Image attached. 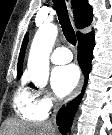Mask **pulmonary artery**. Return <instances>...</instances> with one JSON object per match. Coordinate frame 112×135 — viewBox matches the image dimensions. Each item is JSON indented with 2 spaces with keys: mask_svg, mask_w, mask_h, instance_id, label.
I'll use <instances>...</instances> for the list:
<instances>
[{
  "mask_svg": "<svg viewBox=\"0 0 112 135\" xmlns=\"http://www.w3.org/2000/svg\"><path fill=\"white\" fill-rule=\"evenodd\" d=\"M73 56L69 49L65 47L56 48L51 54V62L54 64H65L72 60Z\"/></svg>",
  "mask_w": 112,
  "mask_h": 135,
  "instance_id": "1",
  "label": "pulmonary artery"
}]
</instances>
